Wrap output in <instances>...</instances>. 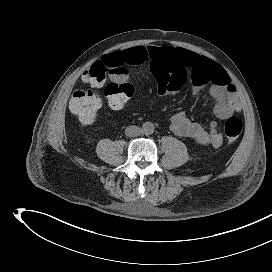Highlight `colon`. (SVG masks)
Returning <instances> with one entry per match:
<instances>
[{
  "label": "colon",
  "instance_id": "1",
  "mask_svg": "<svg viewBox=\"0 0 272 272\" xmlns=\"http://www.w3.org/2000/svg\"><path fill=\"white\" fill-rule=\"evenodd\" d=\"M107 73L116 77L105 84ZM126 74L127 70L122 66L109 68L102 63H94L83 73L87 88L73 93L69 103L70 111L82 124L91 125L98 119L103 96L106 97L110 107L114 109L124 107L134 94V87L127 81ZM242 129L243 122L239 117H228L224 124L227 143L233 144Z\"/></svg>",
  "mask_w": 272,
  "mask_h": 272
}]
</instances>
